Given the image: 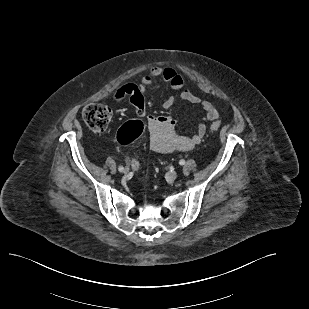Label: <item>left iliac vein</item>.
Instances as JSON below:
<instances>
[{
	"label": "left iliac vein",
	"mask_w": 309,
	"mask_h": 309,
	"mask_svg": "<svg viewBox=\"0 0 309 309\" xmlns=\"http://www.w3.org/2000/svg\"><path fill=\"white\" fill-rule=\"evenodd\" d=\"M177 176H178V174H177V172H175V171H170V172H168V173L166 174V178H167V180L170 181V182L176 180Z\"/></svg>",
	"instance_id": "obj_1"
}]
</instances>
